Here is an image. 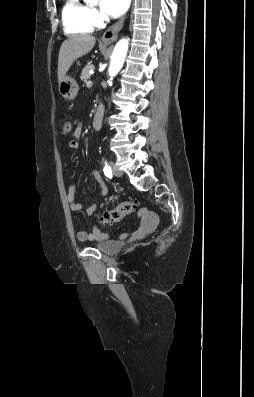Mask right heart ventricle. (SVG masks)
Returning <instances> with one entry per match:
<instances>
[{
    "instance_id": "e07e8e85",
    "label": "right heart ventricle",
    "mask_w": 254,
    "mask_h": 397,
    "mask_svg": "<svg viewBox=\"0 0 254 397\" xmlns=\"http://www.w3.org/2000/svg\"><path fill=\"white\" fill-rule=\"evenodd\" d=\"M61 17L67 35L88 34L95 27L90 17V7L81 0H64Z\"/></svg>"
}]
</instances>
